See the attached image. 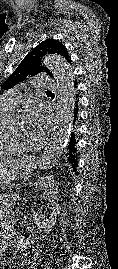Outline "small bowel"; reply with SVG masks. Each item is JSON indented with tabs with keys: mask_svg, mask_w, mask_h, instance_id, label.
<instances>
[{
	"mask_svg": "<svg viewBox=\"0 0 118 269\" xmlns=\"http://www.w3.org/2000/svg\"><path fill=\"white\" fill-rule=\"evenodd\" d=\"M11 245L17 250H26L30 243L25 237L15 234L10 206L0 204V251H5Z\"/></svg>",
	"mask_w": 118,
	"mask_h": 269,
	"instance_id": "c3829d8e",
	"label": "small bowel"
}]
</instances>
